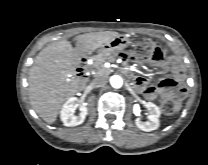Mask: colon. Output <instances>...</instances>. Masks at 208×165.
Returning <instances> with one entry per match:
<instances>
[{
  "label": "colon",
  "instance_id": "obj_1",
  "mask_svg": "<svg viewBox=\"0 0 208 165\" xmlns=\"http://www.w3.org/2000/svg\"><path fill=\"white\" fill-rule=\"evenodd\" d=\"M131 53L137 60L150 59L155 63H159L161 59L167 57L166 49L150 39H141ZM182 96L183 92L173 94L162 100L160 103L161 111L164 114H172L177 109Z\"/></svg>",
  "mask_w": 208,
  "mask_h": 165
}]
</instances>
